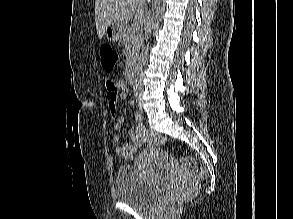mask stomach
<instances>
[{
  "instance_id": "obj_1",
  "label": "stomach",
  "mask_w": 293,
  "mask_h": 219,
  "mask_svg": "<svg viewBox=\"0 0 293 219\" xmlns=\"http://www.w3.org/2000/svg\"><path fill=\"white\" fill-rule=\"evenodd\" d=\"M126 26L119 23H112L105 29V36L109 41L115 42L123 38Z\"/></svg>"
}]
</instances>
